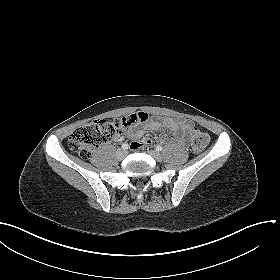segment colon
Masks as SVG:
<instances>
[{"label": "colon", "mask_w": 280, "mask_h": 280, "mask_svg": "<svg viewBox=\"0 0 280 280\" xmlns=\"http://www.w3.org/2000/svg\"><path fill=\"white\" fill-rule=\"evenodd\" d=\"M146 114H133L120 121L97 119L91 123L77 128L69 137L70 149L77 152L82 158L89 159L96 148L112 141L122 129H132L136 124L146 120ZM209 142L207 133L199 129H193L190 133V146L195 152L203 150ZM141 144L137 141L131 143L132 149H138Z\"/></svg>", "instance_id": "obj_1"}]
</instances>
